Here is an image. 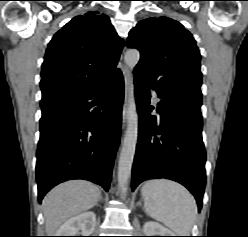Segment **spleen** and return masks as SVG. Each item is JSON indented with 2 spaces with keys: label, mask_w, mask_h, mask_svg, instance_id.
I'll return each instance as SVG.
<instances>
[{
  "label": "spleen",
  "mask_w": 248,
  "mask_h": 237,
  "mask_svg": "<svg viewBox=\"0 0 248 237\" xmlns=\"http://www.w3.org/2000/svg\"><path fill=\"white\" fill-rule=\"evenodd\" d=\"M141 194L147 215L163 223L178 236H189L197 206L188 190L176 182L156 179L147 181Z\"/></svg>",
  "instance_id": "obj_1"
}]
</instances>
